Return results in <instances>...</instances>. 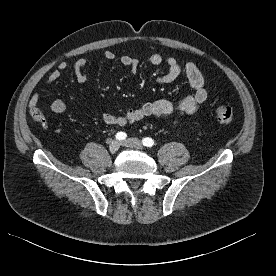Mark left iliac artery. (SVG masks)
I'll use <instances>...</instances> for the list:
<instances>
[{"instance_id": "44dca946", "label": "left iliac artery", "mask_w": 276, "mask_h": 276, "mask_svg": "<svg viewBox=\"0 0 276 276\" xmlns=\"http://www.w3.org/2000/svg\"><path fill=\"white\" fill-rule=\"evenodd\" d=\"M142 143L146 147H152L154 145V140H152V138L146 137L142 139Z\"/></svg>"}]
</instances>
